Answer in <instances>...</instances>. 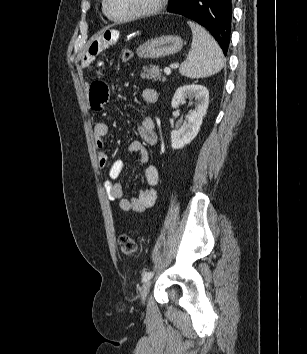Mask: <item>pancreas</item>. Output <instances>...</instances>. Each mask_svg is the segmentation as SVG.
Segmentation results:
<instances>
[{
    "label": "pancreas",
    "mask_w": 307,
    "mask_h": 354,
    "mask_svg": "<svg viewBox=\"0 0 307 354\" xmlns=\"http://www.w3.org/2000/svg\"><path fill=\"white\" fill-rule=\"evenodd\" d=\"M161 68L156 65H150L143 67V71L141 72V77L146 78V79H151L153 81H161L164 80L165 78L162 77L161 74Z\"/></svg>",
    "instance_id": "pancreas-1"
}]
</instances>
